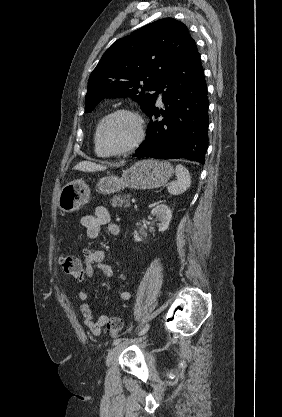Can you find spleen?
<instances>
[{"label": "spleen", "instance_id": "obj_1", "mask_svg": "<svg viewBox=\"0 0 282 417\" xmlns=\"http://www.w3.org/2000/svg\"><path fill=\"white\" fill-rule=\"evenodd\" d=\"M175 172L177 180L169 182L168 192H170V194H182V192L187 190L191 184L190 172L183 164H177Z\"/></svg>", "mask_w": 282, "mask_h": 417}]
</instances>
